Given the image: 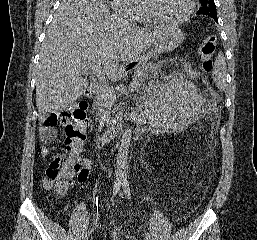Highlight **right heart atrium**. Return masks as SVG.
Masks as SVG:
<instances>
[{"label":"right heart atrium","mask_w":257,"mask_h":240,"mask_svg":"<svg viewBox=\"0 0 257 240\" xmlns=\"http://www.w3.org/2000/svg\"><path fill=\"white\" fill-rule=\"evenodd\" d=\"M111 5L114 11L126 20L137 21L138 9L135 6V0H111Z\"/></svg>","instance_id":"1"}]
</instances>
